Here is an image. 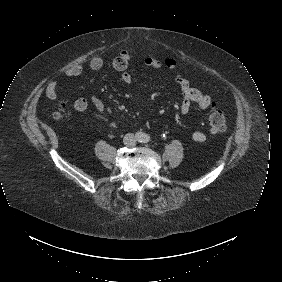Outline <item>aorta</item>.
I'll return each instance as SVG.
<instances>
[{
	"instance_id": "1",
	"label": "aorta",
	"mask_w": 282,
	"mask_h": 282,
	"mask_svg": "<svg viewBox=\"0 0 282 282\" xmlns=\"http://www.w3.org/2000/svg\"><path fill=\"white\" fill-rule=\"evenodd\" d=\"M149 140H150L149 134L143 133V132H141V133L138 134V141H139V142H141V143H147V142H149Z\"/></svg>"
}]
</instances>
